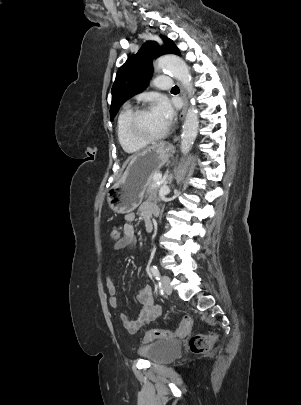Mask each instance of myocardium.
<instances>
[{"mask_svg":"<svg viewBox=\"0 0 301 405\" xmlns=\"http://www.w3.org/2000/svg\"><path fill=\"white\" fill-rule=\"evenodd\" d=\"M148 110H150L149 107H141V108H137V109L133 110V112L129 116V119L127 122V131H128L129 136L136 142L144 144V145L160 141L161 139L166 137L170 131V125H167V127L158 135L145 136V135L141 134L138 130L139 119Z\"/></svg>","mask_w":301,"mask_h":405,"instance_id":"obj_1","label":"myocardium"}]
</instances>
